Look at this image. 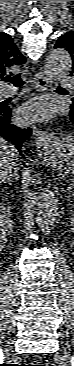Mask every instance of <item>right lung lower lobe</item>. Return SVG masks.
<instances>
[{"label":"right lung lower lobe","mask_w":74,"mask_h":366,"mask_svg":"<svg viewBox=\"0 0 74 366\" xmlns=\"http://www.w3.org/2000/svg\"><path fill=\"white\" fill-rule=\"evenodd\" d=\"M30 128H19L11 123V111L5 102H0V137L12 142L22 155L23 143L31 136Z\"/></svg>","instance_id":"obj_1"}]
</instances>
